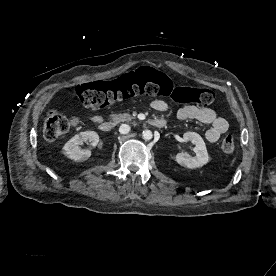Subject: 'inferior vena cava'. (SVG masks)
I'll return each instance as SVG.
<instances>
[{"label": "inferior vena cava", "instance_id": "602c4592", "mask_svg": "<svg viewBox=\"0 0 276 276\" xmlns=\"http://www.w3.org/2000/svg\"><path fill=\"white\" fill-rule=\"evenodd\" d=\"M130 131V126L127 124H122L119 128L121 134H127Z\"/></svg>", "mask_w": 276, "mask_h": 276}]
</instances>
